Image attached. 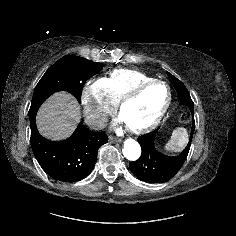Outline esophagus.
<instances>
[{"label": "esophagus", "instance_id": "obj_1", "mask_svg": "<svg viewBox=\"0 0 236 236\" xmlns=\"http://www.w3.org/2000/svg\"><path fill=\"white\" fill-rule=\"evenodd\" d=\"M109 141H110V142H119L120 139H119L118 137L110 136V137H109Z\"/></svg>", "mask_w": 236, "mask_h": 236}]
</instances>
